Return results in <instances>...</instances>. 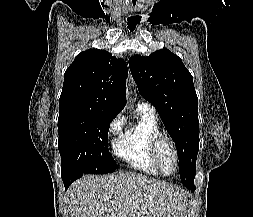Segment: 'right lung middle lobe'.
Here are the masks:
<instances>
[{
	"label": "right lung middle lobe",
	"instance_id": "obj_1",
	"mask_svg": "<svg viewBox=\"0 0 253 217\" xmlns=\"http://www.w3.org/2000/svg\"><path fill=\"white\" fill-rule=\"evenodd\" d=\"M115 116L82 108L59 110L58 149L62 173L105 174L116 170L107 144L109 126Z\"/></svg>",
	"mask_w": 253,
	"mask_h": 217
}]
</instances>
